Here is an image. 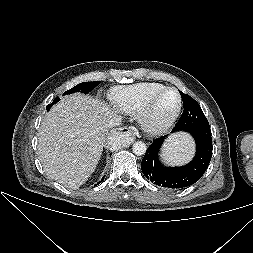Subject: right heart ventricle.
Listing matches in <instances>:
<instances>
[{"instance_id":"right-heart-ventricle-1","label":"right heart ventricle","mask_w":253,"mask_h":253,"mask_svg":"<svg viewBox=\"0 0 253 253\" xmlns=\"http://www.w3.org/2000/svg\"><path fill=\"white\" fill-rule=\"evenodd\" d=\"M164 87L165 85L156 82H142L115 87L112 91V101L120 111L137 116L143 109L147 99Z\"/></svg>"}]
</instances>
